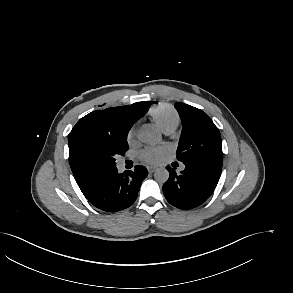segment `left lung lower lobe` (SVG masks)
Segmentation results:
<instances>
[{"label": "left lung lower lobe", "instance_id": "obj_1", "mask_svg": "<svg viewBox=\"0 0 293 293\" xmlns=\"http://www.w3.org/2000/svg\"><path fill=\"white\" fill-rule=\"evenodd\" d=\"M185 169L177 174L167 166L169 179L163 185V193L173 206L188 210L204 203L213 193L219 181L222 166L205 161L184 162Z\"/></svg>", "mask_w": 293, "mask_h": 293}]
</instances>
